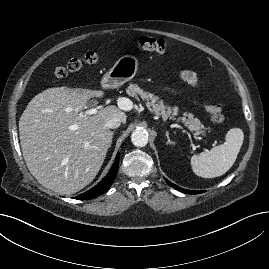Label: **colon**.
I'll list each match as a JSON object with an SVG mask.
<instances>
[{
    "mask_svg": "<svg viewBox=\"0 0 269 269\" xmlns=\"http://www.w3.org/2000/svg\"><path fill=\"white\" fill-rule=\"evenodd\" d=\"M139 47L147 52L162 54L165 52V41L161 38L143 36L139 39ZM99 61V55L95 52H87L81 57L71 58L65 65L58 66L54 70L57 79L65 78L69 73L79 71L84 65H93ZM205 110L213 124L219 125L224 122L225 116L220 106L207 103Z\"/></svg>",
    "mask_w": 269,
    "mask_h": 269,
    "instance_id": "colon-1",
    "label": "colon"
}]
</instances>
